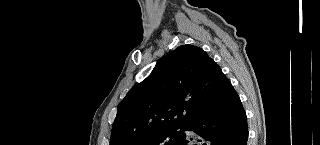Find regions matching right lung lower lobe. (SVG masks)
I'll list each match as a JSON object with an SVG mask.
<instances>
[{
    "label": "right lung lower lobe",
    "mask_w": 320,
    "mask_h": 145,
    "mask_svg": "<svg viewBox=\"0 0 320 145\" xmlns=\"http://www.w3.org/2000/svg\"><path fill=\"white\" fill-rule=\"evenodd\" d=\"M211 108L184 127L189 134L177 145H246L248 138L247 117L241 100L224 75L216 90Z\"/></svg>",
    "instance_id": "98d812e1"
}]
</instances>
